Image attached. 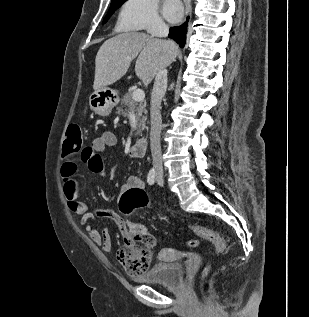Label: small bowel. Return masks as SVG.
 Segmentation results:
<instances>
[{"mask_svg": "<svg viewBox=\"0 0 309 317\" xmlns=\"http://www.w3.org/2000/svg\"><path fill=\"white\" fill-rule=\"evenodd\" d=\"M117 144V137L111 131H105L96 138L92 144L86 147L84 154L81 156L82 161L87 165L89 171L99 177L106 176V169L103 158L100 153L108 147H114ZM77 164L73 160H65L61 168L63 178L64 195L67 200L68 208L71 212L80 216L79 224L91 240L108 254L112 250V240L108 228L105 225L101 230L95 228L92 224L95 217L111 219L124 235L128 230L127 222L120 214L109 209H98L95 213L89 210L88 205L81 200V189L76 178ZM144 182L137 176H131L121 187V193L130 189H143Z\"/></svg>", "mask_w": 309, "mask_h": 317, "instance_id": "c3829d8e", "label": "small bowel"}]
</instances>
